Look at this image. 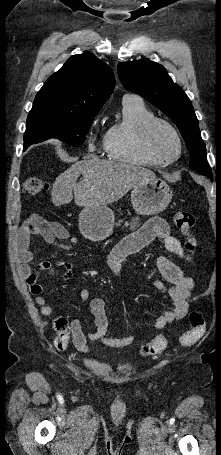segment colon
Here are the masks:
<instances>
[{
  "label": "colon",
  "instance_id": "obj_1",
  "mask_svg": "<svg viewBox=\"0 0 221 455\" xmlns=\"http://www.w3.org/2000/svg\"><path fill=\"white\" fill-rule=\"evenodd\" d=\"M23 192L29 195H37L49 189V183L39 177H27L23 181ZM174 223L177 229L185 236L186 250L193 254L196 251V240L192 235L195 225L194 215L190 212L180 211L174 216ZM191 328L182 335L181 343L186 346L197 343L205 333V322L198 312L189 315ZM55 328L60 333H65L68 329V322L65 318H58L55 321ZM167 338L164 335H157L142 348L144 356H156L162 353L167 347ZM63 342L60 341L58 347L61 348Z\"/></svg>",
  "mask_w": 221,
  "mask_h": 455
}]
</instances>
